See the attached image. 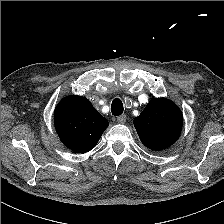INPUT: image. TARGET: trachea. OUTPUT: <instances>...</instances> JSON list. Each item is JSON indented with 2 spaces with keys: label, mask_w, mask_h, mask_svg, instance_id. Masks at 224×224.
I'll list each match as a JSON object with an SVG mask.
<instances>
[{
  "label": "trachea",
  "mask_w": 224,
  "mask_h": 224,
  "mask_svg": "<svg viewBox=\"0 0 224 224\" xmlns=\"http://www.w3.org/2000/svg\"><path fill=\"white\" fill-rule=\"evenodd\" d=\"M123 110H124V107H123L122 101L118 98H115L112 101V105H111L112 115L120 116L123 113Z\"/></svg>",
  "instance_id": "obj_1"
}]
</instances>
